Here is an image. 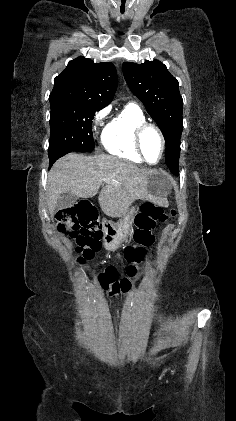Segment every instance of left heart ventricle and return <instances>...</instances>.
I'll use <instances>...</instances> for the list:
<instances>
[{"instance_id":"left-heart-ventricle-1","label":"left heart ventricle","mask_w":236,"mask_h":421,"mask_svg":"<svg viewBox=\"0 0 236 421\" xmlns=\"http://www.w3.org/2000/svg\"><path fill=\"white\" fill-rule=\"evenodd\" d=\"M142 145L149 162L157 163L162 155V143L158 134L154 130L148 129L143 135Z\"/></svg>"}]
</instances>
